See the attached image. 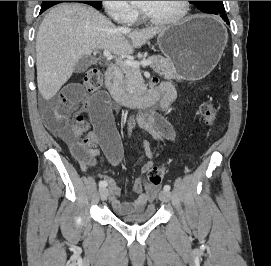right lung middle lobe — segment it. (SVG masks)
Instances as JSON below:
<instances>
[{
  "instance_id": "obj_1",
  "label": "right lung middle lobe",
  "mask_w": 271,
  "mask_h": 266,
  "mask_svg": "<svg viewBox=\"0 0 271 266\" xmlns=\"http://www.w3.org/2000/svg\"><path fill=\"white\" fill-rule=\"evenodd\" d=\"M61 2H81V3L89 4L97 9H101L102 7V1H43L41 10L45 11L46 9Z\"/></svg>"
}]
</instances>
